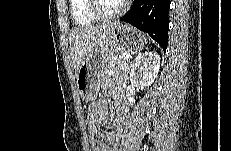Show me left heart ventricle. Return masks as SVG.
I'll list each match as a JSON object with an SVG mask.
<instances>
[{
	"mask_svg": "<svg viewBox=\"0 0 231 151\" xmlns=\"http://www.w3.org/2000/svg\"><path fill=\"white\" fill-rule=\"evenodd\" d=\"M124 1L120 0H100V9L105 14L117 12Z\"/></svg>",
	"mask_w": 231,
	"mask_h": 151,
	"instance_id": "b2bd125f",
	"label": "left heart ventricle"
}]
</instances>
